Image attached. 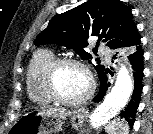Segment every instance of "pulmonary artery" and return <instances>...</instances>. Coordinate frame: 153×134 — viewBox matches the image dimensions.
<instances>
[{
	"label": "pulmonary artery",
	"instance_id": "obj_1",
	"mask_svg": "<svg viewBox=\"0 0 153 134\" xmlns=\"http://www.w3.org/2000/svg\"><path fill=\"white\" fill-rule=\"evenodd\" d=\"M99 51H100V53H102V54L106 53V49H105V47H103V46H100V47H99Z\"/></svg>",
	"mask_w": 153,
	"mask_h": 134
}]
</instances>
